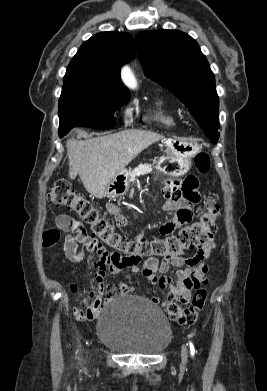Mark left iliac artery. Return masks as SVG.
<instances>
[{
  "mask_svg": "<svg viewBox=\"0 0 267 391\" xmlns=\"http://www.w3.org/2000/svg\"><path fill=\"white\" fill-rule=\"evenodd\" d=\"M191 354L194 355L195 349L192 343H190Z\"/></svg>",
  "mask_w": 267,
  "mask_h": 391,
  "instance_id": "left-iliac-artery-1",
  "label": "left iliac artery"
}]
</instances>
